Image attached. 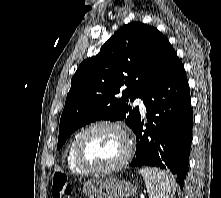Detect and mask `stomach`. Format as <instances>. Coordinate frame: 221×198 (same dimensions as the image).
Wrapping results in <instances>:
<instances>
[{
  "mask_svg": "<svg viewBox=\"0 0 221 198\" xmlns=\"http://www.w3.org/2000/svg\"><path fill=\"white\" fill-rule=\"evenodd\" d=\"M134 192L129 181L114 178L91 180L83 185V193L88 198H129Z\"/></svg>",
  "mask_w": 221,
  "mask_h": 198,
  "instance_id": "1",
  "label": "stomach"
}]
</instances>
